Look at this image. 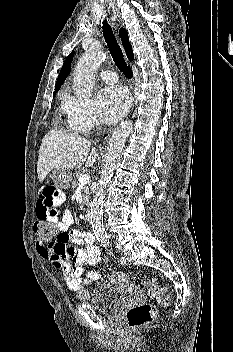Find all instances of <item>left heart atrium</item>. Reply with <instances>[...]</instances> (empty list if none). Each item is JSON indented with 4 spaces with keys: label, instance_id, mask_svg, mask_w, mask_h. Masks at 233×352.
Listing matches in <instances>:
<instances>
[{
    "label": "left heart atrium",
    "instance_id": "39dd6f15",
    "mask_svg": "<svg viewBox=\"0 0 233 352\" xmlns=\"http://www.w3.org/2000/svg\"><path fill=\"white\" fill-rule=\"evenodd\" d=\"M129 96L122 87H107L102 89L96 98V106L101 119L105 123H114L126 112Z\"/></svg>",
    "mask_w": 233,
    "mask_h": 352
}]
</instances>
